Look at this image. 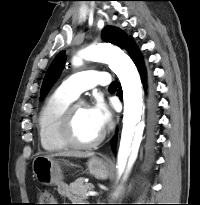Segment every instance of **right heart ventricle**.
Returning <instances> with one entry per match:
<instances>
[{
    "label": "right heart ventricle",
    "instance_id": "e07e8e85",
    "mask_svg": "<svg viewBox=\"0 0 200 205\" xmlns=\"http://www.w3.org/2000/svg\"><path fill=\"white\" fill-rule=\"evenodd\" d=\"M73 100L72 96L59 88L42 106L38 116V133L44 150L56 152L68 147L60 136V123Z\"/></svg>",
    "mask_w": 200,
    "mask_h": 205
}]
</instances>
